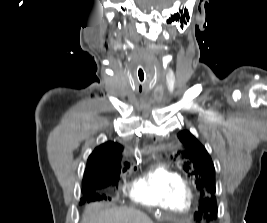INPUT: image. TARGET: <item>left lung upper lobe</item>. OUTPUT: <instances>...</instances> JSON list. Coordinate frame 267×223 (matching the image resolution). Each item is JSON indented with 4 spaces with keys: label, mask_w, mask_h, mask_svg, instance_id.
<instances>
[{
    "label": "left lung upper lobe",
    "mask_w": 267,
    "mask_h": 223,
    "mask_svg": "<svg viewBox=\"0 0 267 223\" xmlns=\"http://www.w3.org/2000/svg\"><path fill=\"white\" fill-rule=\"evenodd\" d=\"M178 137L184 148L176 154L175 160L183 166L185 171H190L197 188L205 196V199L200 203L199 212L204 214L205 219L209 221L217 214L213 162L205 147L189 131L179 132ZM189 211H196V206H189ZM197 218L200 219L199 214Z\"/></svg>",
    "instance_id": "left-lung-upper-lobe-1"
}]
</instances>
